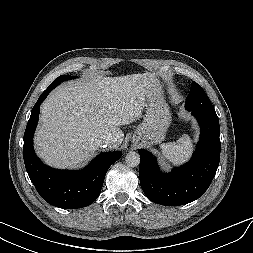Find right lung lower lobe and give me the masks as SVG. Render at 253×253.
I'll return each mask as SVG.
<instances>
[{
    "mask_svg": "<svg viewBox=\"0 0 253 253\" xmlns=\"http://www.w3.org/2000/svg\"><path fill=\"white\" fill-rule=\"evenodd\" d=\"M51 90L48 87L41 94L27 123L23 146L25 167L31 182L46 202L64 209L82 208L90 205L99 196L108 168L122 153H102L79 171L58 170L44 165L34 152L33 134L40 105Z\"/></svg>",
    "mask_w": 253,
    "mask_h": 253,
    "instance_id": "obj_1",
    "label": "right lung lower lobe"
}]
</instances>
